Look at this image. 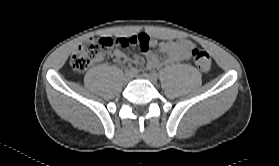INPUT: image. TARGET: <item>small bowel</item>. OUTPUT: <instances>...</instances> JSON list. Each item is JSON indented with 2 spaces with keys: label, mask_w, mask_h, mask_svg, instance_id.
<instances>
[{
  "label": "small bowel",
  "mask_w": 279,
  "mask_h": 166,
  "mask_svg": "<svg viewBox=\"0 0 279 166\" xmlns=\"http://www.w3.org/2000/svg\"><path fill=\"white\" fill-rule=\"evenodd\" d=\"M145 37L146 43L144 45H139L142 56L136 55L133 57H128L122 50L115 49L113 54L115 58L119 61H130L137 63L142 60H145L146 66L149 69H154L162 66L165 63H175L181 60H186L189 58L194 44L192 41L187 39H180L176 41H158L154 38H151L146 33H140L133 35L128 38H140ZM150 48H157L159 52L167 55L165 61L160 60Z\"/></svg>",
  "instance_id": "c3829d8e"
}]
</instances>
